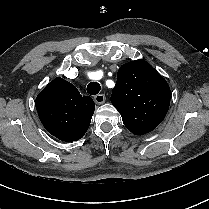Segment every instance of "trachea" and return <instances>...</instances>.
<instances>
[{
	"mask_svg": "<svg viewBox=\"0 0 209 209\" xmlns=\"http://www.w3.org/2000/svg\"><path fill=\"white\" fill-rule=\"evenodd\" d=\"M101 86L98 82H91L87 85V92L90 95H96L100 92Z\"/></svg>",
	"mask_w": 209,
	"mask_h": 209,
	"instance_id": "3493384b",
	"label": "trachea"
}]
</instances>
